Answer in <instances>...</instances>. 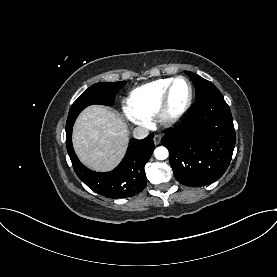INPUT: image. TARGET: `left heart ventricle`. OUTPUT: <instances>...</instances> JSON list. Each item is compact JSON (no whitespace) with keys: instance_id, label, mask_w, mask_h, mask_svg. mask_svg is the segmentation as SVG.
<instances>
[{"instance_id":"1","label":"left heart ventricle","mask_w":277,"mask_h":277,"mask_svg":"<svg viewBox=\"0 0 277 277\" xmlns=\"http://www.w3.org/2000/svg\"><path fill=\"white\" fill-rule=\"evenodd\" d=\"M189 95V88L185 81H178L172 91L170 100V112L175 113L179 111L185 104Z\"/></svg>"}]
</instances>
